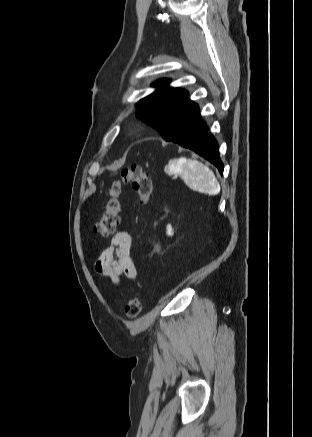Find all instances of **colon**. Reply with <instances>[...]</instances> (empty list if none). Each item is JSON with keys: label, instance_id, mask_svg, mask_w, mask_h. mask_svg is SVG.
Segmentation results:
<instances>
[{"label": "colon", "instance_id": "5ec220e1", "mask_svg": "<svg viewBox=\"0 0 312 437\" xmlns=\"http://www.w3.org/2000/svg\"><path fill=\"white\" fill-rule=\"evenodd\" d=\"M122 184H129L134 189L139 198L140 206L148 205L151 200L153 184L149 173L139 165L123 168L119 178L110 184L102 215L94 224V231L103 237L113 235L120 222ZM141 310L142 303L138 298L133 297L127 301L125 314L129 319L137 318Z\"/></svg>", "mask_w": 312, "mask_h": 437}]
</instances>
